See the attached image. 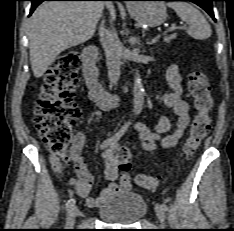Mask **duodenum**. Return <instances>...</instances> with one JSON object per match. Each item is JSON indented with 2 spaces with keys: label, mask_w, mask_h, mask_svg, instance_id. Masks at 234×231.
<instances>
[{
  "label": "duodenum",
  "mask_w": 234,
  "mask_h": 231,
  "mask_svg": "<svg viewBox=\"0 0 234 231\" xmlns=\"http://www.w3.org/2000/svg\"><path fill=\"white\" fill-rule=\"evenodd\" d=\"M98 57V49L94 45L86 47L82 52V71L84 81L89 89L90 99L102 110H109L117 107L121 103V98L115 94L106 91L99 83L95 61Z\"/></svg>",
  "instance_id": "1"
}]
</instances>
